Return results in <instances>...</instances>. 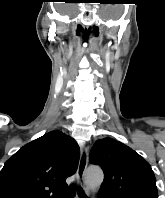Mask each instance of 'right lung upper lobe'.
Here are the masks:
<instances>
[{
    "label": "right lung upper lobe",
    "mask_w": 165,
    "mask_h": 198,
    "mask_svg": "<svg viewBox=\"0 0 165 198\" xmlns=\"http://www.w3.org/2000/svg\"><path fill=\"white\" fill-rule=\"evenodd\" d=\"M79 161L77 143L53 131L23 146L0 172V198H57Z\"/></svg>",
    "instance_id": "1"
}]
</instances>
